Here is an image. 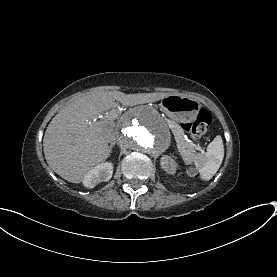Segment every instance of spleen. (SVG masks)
Masks as SVG:
<instances>
[{
    "label": "spleen",
    "instance_id": "3e777b00",
    "mask_svg": "<svg viewBox=\"0 0 277 277\" xmlns=\"http://www.w3.org/2000/svg\"><path fill=\"white\" fill-rule=\"evenodd\" d=\"M224 157V145L222 137L217 135L208 145L205 155H195L194 163L199 169L200 176L204 180H210L218 171Z\"/></svg>",
    "mask_w": 277,
    "mask_h": 277
}]
</instances>
